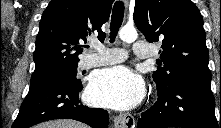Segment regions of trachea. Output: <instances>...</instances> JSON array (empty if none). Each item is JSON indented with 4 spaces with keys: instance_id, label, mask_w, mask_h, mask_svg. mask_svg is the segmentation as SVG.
<instances>
[{
    "instance_id": "trachea-1",
    "label": "trachea",
    "mask_w": 221,
    "mask_h": 128,
    "mask_svg": "<svg viewBox=\"0 0 221 128\" xmlns=\"http://www.w3.org/2000/svg\"><path fill=\"white\" fill-rule=\"evenodd\" d=\"M124 3L122 1H116L111 16L110 23V41L113 42L118 34L119 28L122 25L124 17Z\"/></svg>"
}]
</instances>
